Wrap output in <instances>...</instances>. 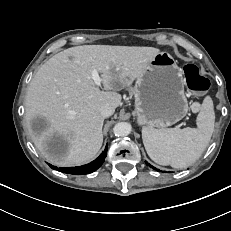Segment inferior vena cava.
<instances>
[{"label":"inferior vena cava","instance_id":"602c4592","mask_svg":"<svg viewBox=\"0 0 231 231\" xmlns=\"http://www.w3.org/2000/svg\"><path fill=\"white\" fill-rule=\"evenodd\" d=\"M100 113L103 118H108L114 113V110L109 106H102L100 109Z\"/></svg>","mask_w":231,"mask_h":231}]
</instances>
